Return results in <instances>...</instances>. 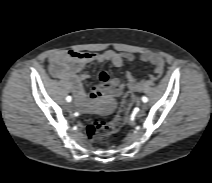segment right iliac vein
<instances>
[{
	"instance_id": "obj_1",
	"label": "right iliac vein",
	"mask_w": 212,
	"mask_h": 183,
	"mask_svg": "<svg viewBox=\"0 0 212 183\" xmlns=\"http://www.w3.org/2000/svg\"><path fill=\"white\" fill-rule=\"evenodd\" d=\"M65 108H66V110L71 111L73 109L72 103L71 102L66 103Z\"/></svg>"
}]
</instances>
